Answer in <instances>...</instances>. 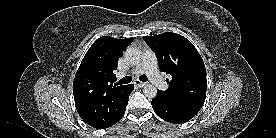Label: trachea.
Wrapping results in <instances>:
<instances>
[{
    "label": "trachea",
    "instance_id": "trachea-1",
    "mask_svg": "<svg viewBox=\"0 0 276 138\" xmlns=\"http://www.w3.org/2000/svg\"><path fill=\"white\" fill-rule=\"evenodd\" d=\"M139 80L143 81V82H146L148 80V78L145 75H141V76H139ZM131 81H132V78L130 76H126V77L120 79L116 84L117 85L128 84Z\"/></svg>",
    "mask_w": 276,
    "mask_h": 138
}]
</instances>
